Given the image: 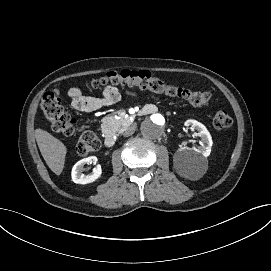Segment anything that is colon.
Returning <instances> with one entry per match:
<instances>
[{
    "label": "colon",
    "instance_id": "obj_1",
    "mask_svg": "<svg viewBox=\"0 0 271 271\" xmlns=\"http://www.w3.org/2000/svg\"><path fill=\"white\" fill-rule=\"evenodd\" d=\"M92 85L136 86L156 94L182 99L194 106H205L211 100L209 91H195L177 87L154 77L149 71L108 72L94 80ZM40 106L53 131L65 135H72L79 131L80 135L76 144V152L79 156H87L98 150L100 142L95 133L84 126H77L76 120L65 111L58 91L46 92L41 99ZM232 125L233 119L227 112L220 111L215 114L213 126L216 130L225 131Z\"/></svg>",
    "mask_w": 271,
    "mask_h": 271
}]
</instances>
